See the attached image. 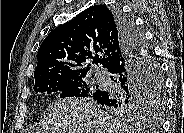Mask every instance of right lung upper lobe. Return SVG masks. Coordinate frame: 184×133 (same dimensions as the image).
I'll return each instance as SVG.
<instances>
[{
    "label": "right lung upper lobe",
    "instance_id": "obj_1",
    "mask_svg": "<svg viewBox=\"0 0 184 133\" xmlns=\"http://www.w3.org/2000/svg\"><path fill=\"white\" fill-rule=\"evenodd\" d=\"M114 10L95 5L52 30L38 49L35 83L46 78L86 76L88 59L107 67L121 52ZM87 66H91L88 64Z\"/></svg>",
    "mask_w": 184,
    "mask_h": 133
}]
</instances>
